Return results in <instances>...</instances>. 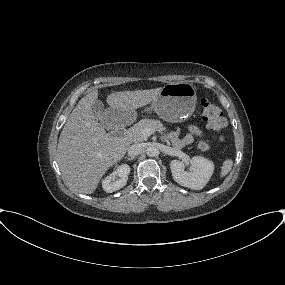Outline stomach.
<instances>
[{"instance_id": "1", "label": "stomach", "mask_w": 285, "mask_h": 285, "mask_svg": "<svg viewBox=\"0 0 285 285\" xmlns=\"http://www.w3.org/2000/svg\"><path fill=\"white\" fill-rule=\"evenodd\" d=\"M197 102L196 88L189 82L166 84L146 111H154L167 122H181L192 115ZM119 118L133 111L112 109Z\"/></svg>"}]
</instances>
